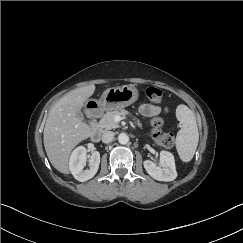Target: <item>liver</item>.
Returning <instances> with one entry per match:
<instances>
[{
  "label": "liver",
  "mask_w": 243,
  "mask_h": 243,
  "mask_svg": "<svg viewBox=\"0 0 243 243\" xmlns=\"http://www.w3.org/2000/svg\"><path fill=\"white\" fill-rule=\"evenodd\" d=\"M95 85L69 91L51 108L46 120L43 142L52 166L69 174L71 151L93 134V129L78 117L85 102L95 92Z\"/></svg>",
  "instance_id": "obj_1"
}]
</instances>
